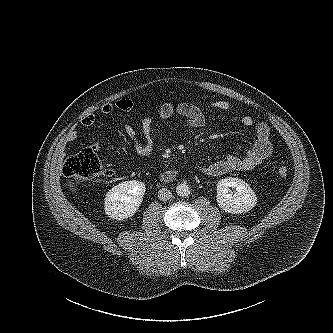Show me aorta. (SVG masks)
<instances>
[{
    "label": "aorta",
    "mask_w": 333,
    "mask_h": 333,
    "mask_svg": "<svg viewBox=\"0 0 333 333\" xmlns=\"http://www.w3.org/2000/svg\"><path fill=\"white\" fill-rule=\"evenodd\" d=\"M176 193L178 196L187 197L190 194V188L187 184H179L176 187Z\"/></svg>",
    "instance_id": "aorta-1"
}]
</instances>
